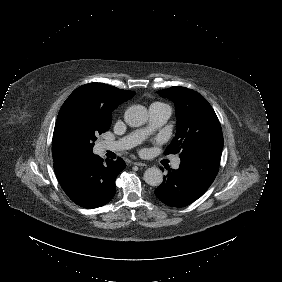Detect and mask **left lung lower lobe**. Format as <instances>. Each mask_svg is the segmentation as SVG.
Returning a JSON list of instances; mask_svg holds the SVG:
<instances>
[{"label": "left lung lower lobe", "mask_w": 282, "mask_h": 282, "mask_svg": "<svg viewBox=\"0 0 282 282\" xmlns=\"http://www.w3.org/2000/svg\"><path fill=\"white\" fill-rule=\"evenodd\" d=\"M221 152L201 150L181 159L179 169L171 170L155 195L164 204L184 207L203 195L214 181L220 164Z\"/></svg>", "instance_id": "left-lung-lower-lobe-1"}]
</instances>
